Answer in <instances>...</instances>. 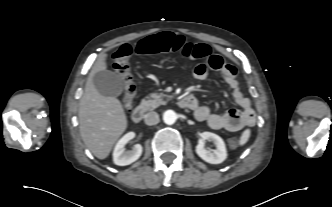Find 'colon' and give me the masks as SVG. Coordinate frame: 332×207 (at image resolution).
Returning a JSON list of instances; mask_svg holds the SVG:
<instances>
[{
	"instance_id": "obj_1",
	"label": "colon",
	"mask_w": 332,
	"mask_h": 207,
	"mask_svg": "<svg viewBox=\"0 0 332 207\" xmlns=\"http://www.w3.org/2000/svg\"><path fill=\"white\" fill-rule=\"evenodd\" d=\"M181 51L188 60H200L204 58H216L211 54L208 45L203 43L187 42L183 36L172 33L153 35L139 41L134 47L130 44H122L112 54L114 66L124 82L123 101L129 110L136 94V84L133 78L130 57L136 52L138 54H152L160 52ZM232 146L237 145L236 141L231 142Z\"/></svg>"
}]
</instances>
